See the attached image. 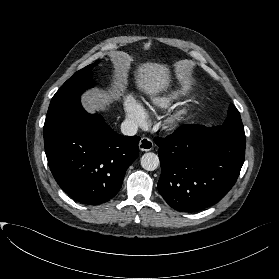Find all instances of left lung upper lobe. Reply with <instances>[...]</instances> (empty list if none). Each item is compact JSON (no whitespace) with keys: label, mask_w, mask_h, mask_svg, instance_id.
<instances>
[{"label":"left lung upper lobe","mask_w":279,"mask_h":279,"mask_svg":"<svg viewBox=\"0 0 279 279\" xmlns=\"http://www.w3.org/2000/svg\"><path fill=\"white\" fill-rule=\"evenodd\" d=\"M223 126L238 131L240 133H244V127L241 121L240 113L233 104H230L229 106L227 118Z\"/></svg>","instance_id":"1"}]
</instances>
